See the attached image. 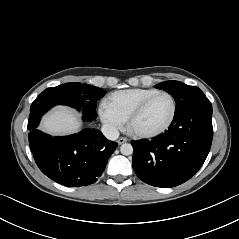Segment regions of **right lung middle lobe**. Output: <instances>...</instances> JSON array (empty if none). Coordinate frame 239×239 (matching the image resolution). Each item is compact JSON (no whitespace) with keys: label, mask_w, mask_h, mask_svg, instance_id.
<instances>
[{"label":"right lung middle lobe","mask_w":239,"mask_h":239,"mask_svg":"<svg viewBox=\"0 0 239 239\" xmlns=\"http://www.w3.org/2000/svg\"><path fill=\"white\" fill-rule=\"evenodd\" d=\"M105 93L102 88L75 82L47 88L32 103L28 124L31 126L32 123L38 122L49 108L57 104L81 110L85 119L92 120L97 116L96 101Z\"/></svg>","instance_id":"dd1d6c3e"}]
</instances>
